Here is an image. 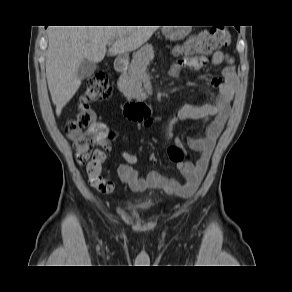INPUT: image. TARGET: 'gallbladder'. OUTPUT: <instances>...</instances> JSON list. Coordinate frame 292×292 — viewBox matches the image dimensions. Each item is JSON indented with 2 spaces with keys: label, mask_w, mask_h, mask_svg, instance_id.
Listing matches in <instances>:
<instances>
[{
  "label": "gallbladder",
  "mask_w": 292,
  "mask_h": 292,
  "mask_svg": "<svg viewBox=\"0 0 292 292\" xmlns=\"http://www.w3.org/2000/svg\"><path fill=\"white\" fill-rule=\"evenodd\" d=\"M97 69L96 63H93L89 60H84L81 62L77 69V75L79 78L84 79L91 76Z\"/></svg>",
  "instance_id": "1"
}]
</instances>
